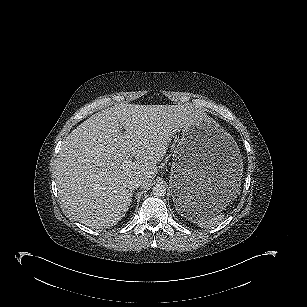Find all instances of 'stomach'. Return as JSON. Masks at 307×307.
Instances as JSON below:
<instances>
[{"label":"stomach","instance_id":"obj_1","mask_svg":"<svg viewBox=\"0 0 307 307\" xmlns=\"http://www.w3.org/2000/svg\"><path fill=\"white\" fill-rule=\"evenodd\" d=\"M243 159L232 138L204 112L183 128L170 174L173 201L192 220L201 211L216 213L238 195Z\"/></svg>","mask_w":307,"mask_h":307}]
</instances>
